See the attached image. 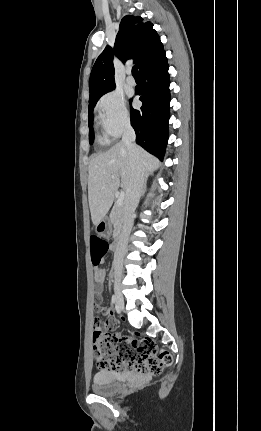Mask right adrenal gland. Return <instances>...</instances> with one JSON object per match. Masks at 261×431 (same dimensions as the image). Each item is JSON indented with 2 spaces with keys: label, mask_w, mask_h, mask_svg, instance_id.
Returning <instances> with one entry per match:
<instances>
[{
  "label": "right adrenal gland",
  "mask_w": 261,
  "mask_h": 431,
  "mask_svg": "<svg viewBox=\"0 0 261 431\" xmlns=\"http://www.w3.org/2000/svg\"><path fill=\"white\" fill-rule=\"evenodd\" d=\"M149 174H147L145 176V181H144V189H143V194L145 193L146 189H147V180H148Z\"/></svg>",
  "instance_id": "right-adrenal-gland-1"
}]
</instances>
